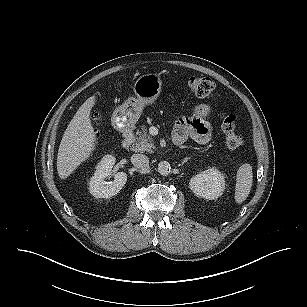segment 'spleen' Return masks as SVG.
Returning a JSON list of instances; mask_svg holds the SVG:
<instances>
[{"mask_svg": "<svg viewBox=\"0 0 307 307\" xmlns=\"http://www.w3.org/2000/svg\"><path fill=\"white\" fill-rule=\"evenodd\" d=\"M253 182L252 166L248 163L242 164L237 171L235 186V201L241 204L248 197Z\"/></svg>", "mask_w": 307, "mask_h": 307, "instance_id": "1", "label": "spleen"}]
</instances>
